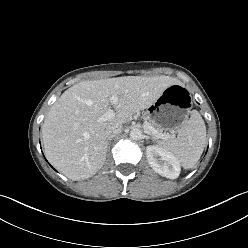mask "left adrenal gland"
<instances>
[{
	"label": "left adrenal gland",
	"mask_w": 248,
	"mask_h": 248,
	"mask_svg": "<svg viewBox=\"0 0 248 248\" xmlns=\"http://www.w3.org/2000/svg\"><path fill=\"white\" fill-rule=\"evenodd\" d=\"M152 141H154V138L153 137H149Z\"/></svg>",
	"instance_id": "obj_1"
}]
</instances>
